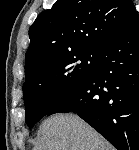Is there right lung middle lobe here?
<instances>
[{"label": "right lung middle lobe", "mask_w": 139, "mask_h": 150, "mask_svg": "<svg viewBox=\"0 0 139 150\" xmlns=\"http://www.w3.org/2000/svg\"><path fill=\"white\" fill-rule=\"evenodd\" d=\"M101 50L62 54L26 75L23 85L25 122L33 127L65 95L92 73Z\"/></svg>", "instance_id": "1"}]
</instances>
